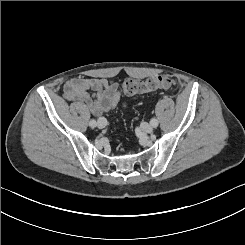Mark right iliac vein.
I'll return each instance as SVG.
<instances>
[{"instance_id": "1", "label": "right iliac vein", "mask_w": 245, "mask_h": 245, "mask_svg": "<svg viewBox=\"0 0 245 245\" xmlns=\"http://www.w3.org/2000/svg\"><path fill=\"white\" fill-rule=\"evenodd\" d=\"M106 125H107V121H106L105 118L101 117V118L98 119L97 126H98L99 128L102 129V128H104Z\"/></svg>"}]
</instances>
